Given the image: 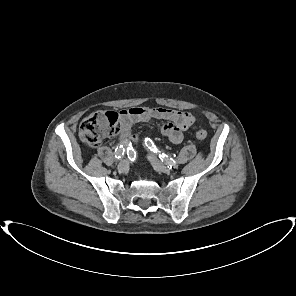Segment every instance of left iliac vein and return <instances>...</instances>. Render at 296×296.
<instances>
[{
  "mask_svg": "<svg viewBox=\"0 0 296 296\" xmlns=\"http://www.w3.org/2000/svg\"><path fill=\"white\" fill-rule=\"evenodd\" d=\"M149 161L151 162L152 166L159 172L163 173H170V169L163 164L160 160H158L154 155L148 156Z\"/></svg>",
  "mask_w": 296,
  "mask_h": 296,
  "instance_id": "1",
  "label": "left iliac vein"
}]
</instances>
